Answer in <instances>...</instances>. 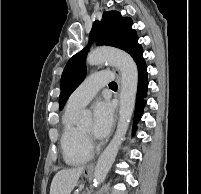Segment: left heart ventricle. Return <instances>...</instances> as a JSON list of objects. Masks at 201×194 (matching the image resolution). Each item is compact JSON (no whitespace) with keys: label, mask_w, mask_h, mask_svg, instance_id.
I'll list each match as a JSON object with an SVG mask.
<instances>
[{"label":"left heart ventricle","mask_w":201,"mask_h":194,"mask_svg":"<svg viewBox=\"0 0 201 194\" xmlns=\"http://www.w3.org/2000/svg\"><path fill=\"white\" fill-rule=\"evenodd\" d=\"M81 129L87 133H89L92 129V123L91 122H87L86 124H84Z\"/></svg>","instance_id":"b2bd125f"}]
</instances>
